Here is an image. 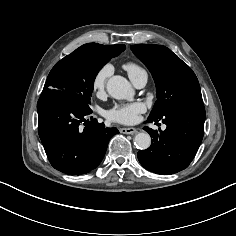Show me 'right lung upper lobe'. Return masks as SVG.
<instances>
[{
    "mask_svg": "<svg viewBox=\"0 0 236 236\" xmlns=\"http://www.w3.org/2000/svg\"><path fill=\"white\" fill-rule=\"evenodd\" d=\"M126 46L124 44H117V45H101L97 43H88L82 45L78 49H101L105 51L112 52L116 56L119 55L122 51H124Z\"/></svg>",
    "mask_w": 236,
    "mask_h": 236,
    "instance_id": "cb5924a9",
    "label": "right lung upper lobe"
}]
</instances>
